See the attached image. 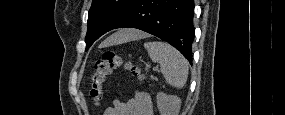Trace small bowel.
<instances>
[{
    "label": "small bowel",
    "instance_id": "1",
    "mask_svg": "<svg viewBox=\"0 0 285 115\" xmlns=\"http://www.w3.org/2000/svg\"><path fill=\"white\" fill-rule=\"evenodd\" d=\"M104 115H153V102L148 93L136 91L128 100H114Z\"/></svg>",
    "mask_w": 285,
    "mask_h": 115
}]
</instances>
